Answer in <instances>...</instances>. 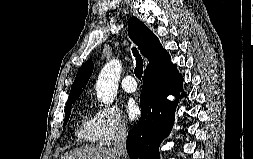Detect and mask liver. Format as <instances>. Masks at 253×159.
I'll list each match as a JSON object with an SVG mask.
<instances>
[{"instance_id":"obj_1","label":"liver","mask_w":253,"mask_h":159,"mask_svg":"<svg viewBox=\"0 0 253 159\" xmlns=\"http://www.w3.org/2000/svg\"><path fill=\"white\" fill-rule=\"evenodd\" d=\"M113 149L95 146H82L66 152L60 159H121Z\"/></svg>"}]
</instances>
